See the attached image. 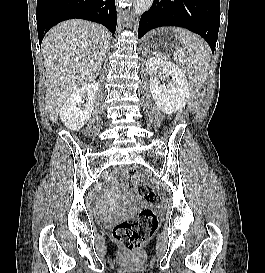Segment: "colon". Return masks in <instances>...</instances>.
<instances>
[{"mask_svg":"<svg viewBox=\"0 0 265 273\" xmlns=\"http://www.w3.org/2000/svg\"><path fill=\"white\" fill-rule=\"evenodd\" d=\"M128 186L145 202L156 203L160 200L149 185L140 181L137 169L127 171ZM158 228V219L151 208H143L135 215L117 223L113 228L114 239L127 250H138L150 239Z\"/></svg>","mask_w":265,"mask_h":273,"instance_id":"obj_1","label":"colon"}]
</instances>
